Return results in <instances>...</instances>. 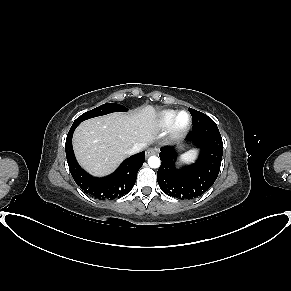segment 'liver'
Segmentation results:
<instances>
[{"label":"liver","instance_id":"liver-1","mask_svg":"<svg viewBox=\"0 0 291 291\" xmlns=\"http://www.w3.org/2000/svg\"><path fill=\"white\" fill-rule=\"evenodd\" d=\"M157 123V112L151 105L84 121L73 136L77 160L93 175L109 174L135 144L147 145L156 138Z\"/></svg>","mask_w":291,"mask_h":291}]
</instances>
